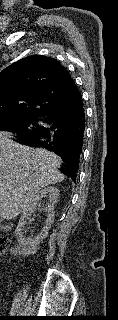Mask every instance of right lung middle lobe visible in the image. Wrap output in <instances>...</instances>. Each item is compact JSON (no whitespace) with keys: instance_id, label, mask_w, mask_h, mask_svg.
<instances>
[{"instance_id":"obj_1","label":"right lung middle lobe","mask_w":118,"mask_h":320,"mask_svg":"<svg viewBox=\"0 0 118 320\" xmlns=\"http://www.w3.org/2000/svg\"><path fill=\"white\" fill-rule=\"evenodd\" d=\"M36 117L2 118L0 131H8L16 135V139L33 135L41 129Z\"/></svg>"}]
</instances>
